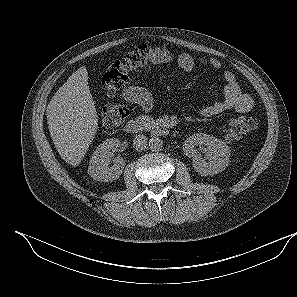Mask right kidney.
Wrapping results in <instances>:
<instances>
[{
	"mask_svg": "<svg viewBox=\"0 0 297 297\" xmlns=\"http://www.w3.org/2000/svg\"><path fill=\"white\" fill-rule=\"evenodd\" d=\"M120 144L116 138L107 139L101 143L94 153L89 162L88 172L90 176L97 181L109 182L118 179L125 166V161L121 157L113 160L114 165L109 166L111 163V152L114 151Z\"/></svg>",
	"mask_w": 297,
	"mask_h": 297,
	"instance_id": "right-kidney-1",
	"label": "right kidney"
}]
</instances>
